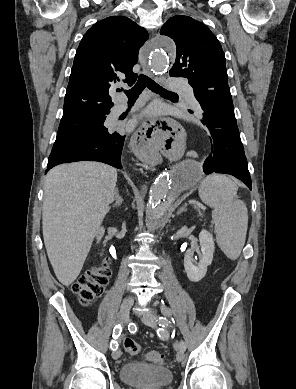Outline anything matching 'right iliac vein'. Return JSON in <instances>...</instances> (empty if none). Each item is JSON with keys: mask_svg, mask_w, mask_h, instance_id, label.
Listing matches in <instances>:
<instances>
[{"mask_svg": "<svg viewBox=\"0 0 296 389\" xmlns=\"http://www.w3.org/2000/svg\"><path fill=\"white\" fill-rule=\"evenodd\" d=\"M133 303H134L133 297H128V298H125L123 300V302L121 304V307H120V313H119L120 320L123 323H127L128 322L130 309H131ZM120 356H121V350L120 349L115 350L112 353L113 359H118Z\"/></svg>", "mask_w": 296, "mask_h": 389, "instance_id": "right-iliac-vein-1", "label": "right iliac vein"}]
</instances>
